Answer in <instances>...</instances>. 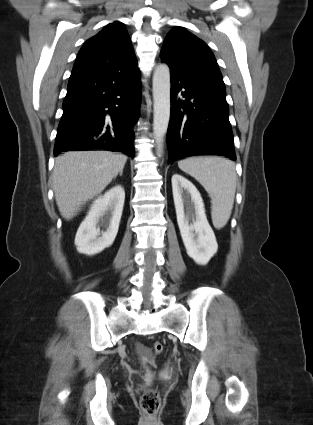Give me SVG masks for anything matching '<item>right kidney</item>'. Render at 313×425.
<instances>
[{
	"instance_id": "obj_1",
	"label": "right kidney",
	"mask_w": 313,
	"mask_h": 425,
	"mask_svg": "<svg viewBox=\"0 0 313 425\" xmlns=\"http://www.w3.org/2000/svg\"><path fill=\"white\" fill-rule=\"evenodd\" d=\"M124 200V188L118 185L93 202L75 236V245L79 253L95 255L113 244L118 232ZM101 218L108 221L109 225L107 230L99 236L100 229L97 228V224Z\"/></svg>"
}]
</instances>
